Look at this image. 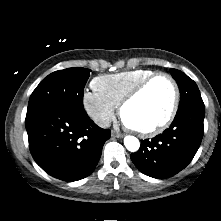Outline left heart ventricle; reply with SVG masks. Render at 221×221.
Masks as SVG:
<instances>
[{
	"label": "left heart ventricle",
	"instance_id": "obj_1",
	"mask_svg": "<svg viewBox=\"0 0 221 221\" xmlns=\"http://www.w3.org/2000/svg\"><path fill=\"white\" fill-rule=\"evenodd\" d=\"M173 100V90L165 78L153 81L123 112V119L136 129H149L167 116Z\"/></svg>",
	"mask_w": 221,
	"mask_h": 221
}]
</instances>
